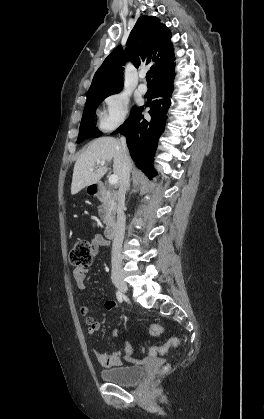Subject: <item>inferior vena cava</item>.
I'll list each match as a JSON object with an SVG mask.
<instances>
[{
    "label": "inferior vena cava",
    "mask_w": 264,
    "mask_h": 419,
    "mask_svg": "<svg viewBox=\"0 0 264 419\" xmlns=\"http://www.w3.org/2000/svg\"><path fill=\"white\" fill-rule=\"evenodd\" d=\"M122 155H123V177L122 182L118 191V205H117V222L114 230V238L112 243V269L120 270L122 264L121 247L125 233V215H124V203L125 194L129 185L130 171H131V160L127 149L126 138L121 137Z\"/></svg>",
    "instance_id": "1"
}]
</instances>
